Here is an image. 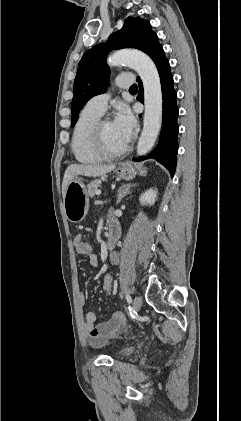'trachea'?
Listing matches in <instances>:
<instances>
[{"label": "trachea", "mask_w": 241, "mask_h": 421, "mask_svg": "<svg viewBox=\"0 0 241 421\" xmlns=\"http://www.w3.org/2000/svg\"><path fill=\"white\" fill-rule=\"evenodd\" d=\"M130 91H135V90H138V87H137V85L136 84H134V85H132L131 87H130V89H129Z\"/></svg>", "instance_id": "obj_1"}]
</instances>
